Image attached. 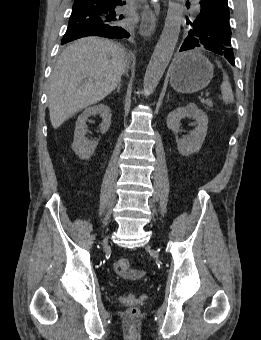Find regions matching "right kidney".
Instances as JSON below:
<instances>
[{"label": "right kidney", "instance_id": "ca27d5eb", "mask_svg": "<svg viewBox=\"0 0 261 340\" xmlns=\"http://www.w3.org/2000/svg\"><path fill=\"white\" fill-rule=\"evenodd\" d=\"M99 114L102 118L100 131L102 134L106 133L111 125V109L104 104L96 105L86 108L76 121L74 131V140L72 143V150L81 159H89L94 153L98 141H90L85 137L87 132L86 121L90 116Z\"/></svg>", "mask_w": 261, "mask_h": 340}]
</instances>
